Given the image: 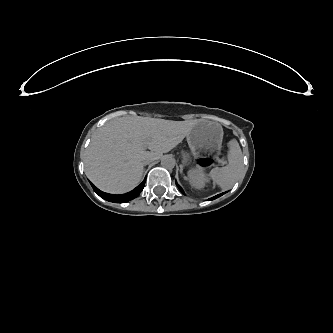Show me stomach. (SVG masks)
<instances>
[{
  "label": "stomach",
  "mask_w": 333,
  "mask_h": 333,
  "mask_svg": "<svg viewBox=\"0 0 333 333\" xmlns=\"http://www.w3.org/2000/svg\"><path fill=\"white\" fill-rule=\"evenodd\" d=\"M188 142L191 144V145H196V142L193 138L189 137L188 138Z\"/></svg>",
  "instance_id": "0dacf381"
}]
</instances>
